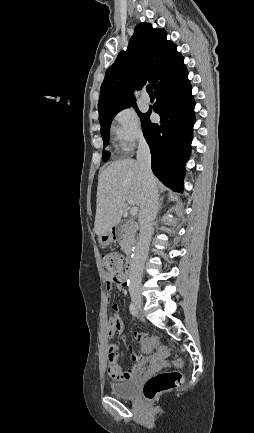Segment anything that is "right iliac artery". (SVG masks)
<instances>
[{
	"label": "right iliac artery",
	"instance_id": "82829eb1",
	"mask_svg": "<svg viewBox=\"0 0 254 433\" xmlns=\"http://www.w3.org/2000/svg\"><path fill=\"white\" fill-rule=\"evenodd\" d=\"M129 310L133 316H137V308L133 303L130 304Z\"/></svg>",
	"mask_w": 254,
	"mask_h": 433
}]
</instances>
